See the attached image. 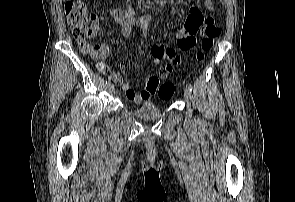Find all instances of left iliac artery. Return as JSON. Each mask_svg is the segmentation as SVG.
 Here are the masks:
<instances>
[{
  "label": "left iliac artery",
  "mask_w": 295,
  "mask_h": 202,
  "mask_svg": "<svg viewBox=\"0 0 295 202\" xmlns=\"http://www.w3.org/2000/svg\"><path fill=\"white\" fill-rule=\"evenodd\" d=\"M186 88H188L190 91H192L193 86H192L191 83H187V84H186Z\"/></svg>",
  "instance_id": "obj_1"
}]
</instances>
